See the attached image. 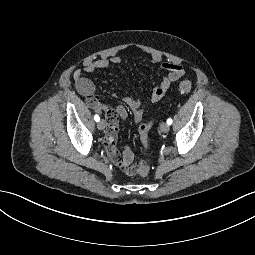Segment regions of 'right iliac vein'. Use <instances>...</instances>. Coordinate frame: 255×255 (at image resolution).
<instances>
[{"label":"right iliac vein","mask_w":255,"mask_h":255,"mask_svg":"<svg viewBox=\"0 0 255 255\" xmlns=\"http://www.w3.org/2000/svg\"><path fill=\"white\" fill-rule=\"evenodd\" d=\"M97 127L99 130H104L106 127V122L102 119L98 122Z\"/></svg>","instance_id":"obj_1"}]
</instances>
